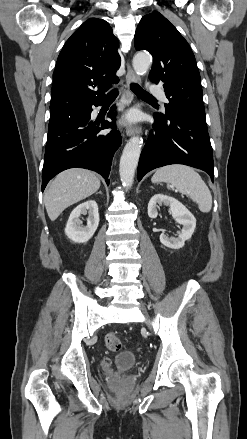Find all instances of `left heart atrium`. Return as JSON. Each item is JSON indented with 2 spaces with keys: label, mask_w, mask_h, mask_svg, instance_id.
<instances>
[{
  "label": "left heart atrium",
  "mask_w": 247,
  "mask_h": 439,
  "mask_svg": "<svg viewBox=\"0 0 247 439\" xmlns=\"http://www.w3.org/2000/svg\"><path fill=\"white\" fill-rule=\"evenodd\" d=\"M136 119H137V113L135 111L129 112L125 117V120L128 122H133Z\"/></svg>",
  "instance_id": "left-heart-atrium-1"
}]
</instances>
